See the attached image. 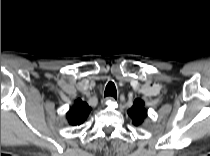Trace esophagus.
I'll use <instances>...</instances> for the list:
<instances>
[{"label": "esophagus", "mask_w": 210, "mask_h": 156, "mask_svg": "<svg viewBox=\"0 0 210 156\" xmlns=\"http://www.w3.org/2000/svg\"><path fill=\"white\" fill-rule=\"evenodd\" d=\"M114 101H115V99L113 97H106L102 100L101 103H102L103 106H106L109 103L114 102Z\"/></svg>", "instance_id": "1"}]
</instances>
